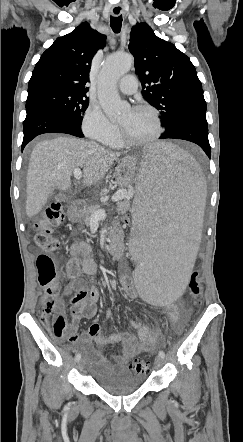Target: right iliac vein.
Here are the masks:
<instances>
[{"instance_id":"right-iliac-vein-1","label":"right iliac vein","mask_w":243,"mask_h":442,"mask_svg":"<svg viewBox=\"0 0 243 442\" xmlns=\"http://www.w3.org/2000/svg\"><path fill=\"white\" fill-rule=\"evenodd\" d=\"M83 368H84V361L81 360V361H79V363H78V369H79V371H83Z\"/></svg>"}]
</instances>
